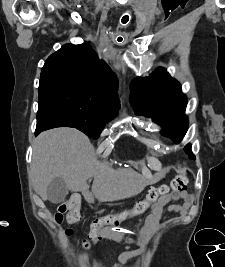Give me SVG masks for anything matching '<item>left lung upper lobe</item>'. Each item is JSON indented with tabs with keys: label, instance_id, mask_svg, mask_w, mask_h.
Instances as JSON below:
<instances>
[{
	"label": "left lung upper lobe",
	"instance_id": "obj_1",
	"mask_svg": "<svg viewBox=\"0 0 225 267\" xmlns=\"http://www.w3.org/2000/svg\"><path fill=\"white\" fill-rule=\"evenodd\" d=\"M130 90V102L135 113L151 117L154 122L164 126L161 131L164 136L179 143L187 132V99L179 82L171 78L166 69L159 67L148 77L135 78ZM184 150L190 159H195L191 144H187Z\"/></svg>",
	"mask_w": 225,
	"mask_h": 267
}]
</instances>
